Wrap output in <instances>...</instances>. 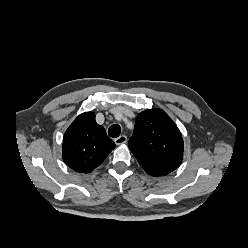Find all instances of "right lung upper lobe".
Listing matches in <instances>:
<instances>
[{"label":"right lung upper lobe","mask_w":248,"mask_h":248,"mask_svg":"<svg viewBox=\"0 0 248 248\" xmlns=\"http://www.w3.org/2000/svg\"><path fill=\"white\" fill-rule=\"evenodd\" d=\"M115 148L92 112L79 115L64 134L63 160L71 169L89 173Z\"/></svg>","instance_id":"cb5924a9"}]
</instances>
